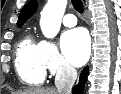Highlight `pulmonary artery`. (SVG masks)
I'll list each match as a JSON object with an SVG mask.
<instances>
[{
	"label": "pulmonary artery",
	"mask_w": 121,
	"mask_h": 94,
	"mask_svg": "<svg viewBox=\"0 0 121 94\" xmlns=\"http://www.w3.org/2000/svg\"><path fill=\"white\" fill-rule=\"evenodd\" d=\"M63 24L66 27H73L77 24V18L74 14L68 13L63 17Z\"/></svg>",
	"instance_id": "1"
}]
</instances>
